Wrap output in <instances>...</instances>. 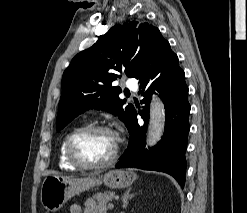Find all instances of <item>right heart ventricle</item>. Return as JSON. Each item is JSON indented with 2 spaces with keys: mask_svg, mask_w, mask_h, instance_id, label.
<instances>
[{
  "mask_svg": "<svg viewBox=\"0 0 247 213\" xmlns=\"http://www.w3.org/2000/svg\"><path fill=\"white\" fill-rule=\"evenodd\" d=\"M73 132V130L67 132L59 145L58 149V166L60 169L65 170V171H76L78 168L74 165H72L66 155V142L70 134Z\"/></svg>",
  "mask_w": 247,
  "mask_h": 213,
  "instance_id": "1",
  "label": "right heart ventricle"
}]
</instances>
